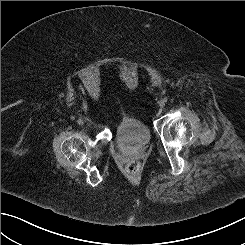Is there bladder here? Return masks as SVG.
<instances>
[{
	"instance_id": "obj_1",
	"label": "bladder",
	"mask_w": 245,
	"mask_h": 245,
	"mask_svg": "<svg viewBox=\"0 0 245 245\" xmlns=\"http://www.w3.org/2000/svg\"><path fill=\"white\" fill-rule=\"evenodd\" d=\"M114 136L118 144L130 150L143 148L151 139L147 124L141 119L131 117H123L119 121Z\"/></svg>"
}]
</instances>
